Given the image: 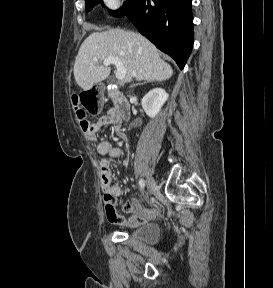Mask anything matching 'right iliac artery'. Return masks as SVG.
Wrapping results in <instances>:
<instances>
[{"label": "right iliac artery", "instance_id": "82829eb1", "mask_svg": "<svg viewBox=\"0 0 273 288\" xmlns=\"http://www.w3.org/2000/svg\"><path fill=\"white\" fill-rule=\"evenodd\" d=\"M139 186H140L141 189H144V187H145V181H144L143 179H140V180H139Z\"/></svg>", "mask_w": 273, "mask_h": 288}]
</instances>
